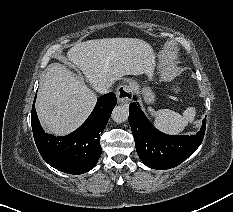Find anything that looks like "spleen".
Returning a JSON list of instances; mask_svg holds the SVG:
<instances>
[{
  "instance_id": "1",
  "label": "spleen",
  "mask_w": 233,
  "mask_h": 212,
  "mask_svg": "<svg viewBox=\"0 0 233 212\" xmlns=\"http://www.w3.org/2000/svg\"><path fill=\"white\" fill-rule=\"evenodd\" d=\"M148 112L154 117V125L167 134L181 133L196 116L195 107L186 108L183 115L169 109L154 111L151 107H148Z\"/></svg>"
}]
</instances>
